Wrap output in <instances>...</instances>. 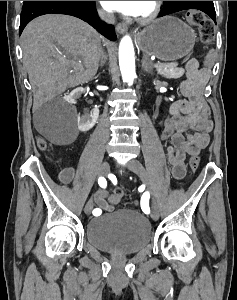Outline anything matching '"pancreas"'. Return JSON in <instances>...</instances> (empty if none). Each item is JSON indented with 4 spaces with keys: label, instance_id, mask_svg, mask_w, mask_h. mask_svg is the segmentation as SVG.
Wrapping results in <instances>:
<instances>
[{
    "label": "pancreas",
    "instance_id": "obj_1",
    "mask_svg": "<svg viewBox=\"0 0 237 300\" xmlns=\"http://www.w3.org/2000/svg\"><path fill=\"white\" fill-rule=\"evenodd\" d=\"M152 63V61H150ZM160 64V63H159ZM156 63H152V67H155L156 65H159ZM160 65H168V64H160ZM159 75H163V77H167V79H179V77H182L183 73H185L184 69H179V67L170 69V68H156Z\"/></svg>",
    "mask_w": 237,
    "mask_h": 300
}]
</instances>
